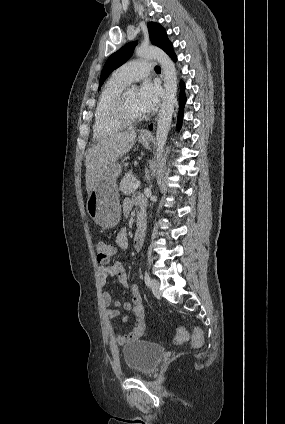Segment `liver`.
Here are the masks:
<instances>
[{
  "label": "liver",
  "mask_w": 285,
  "mask_h": 424,
  "mask_svg": "<svg viewBox=\"0 0 285 424\" xmlns=\"http://www.w3.org/2000/svg\"><path fill=\"white\" fill-rule=\"evenodd\" d=\"M136 131L114 133L93 145L86 154V189L90 193L109 165L122 158L135 144Z\"/></svg>",
  "instance_id": "obj_1"
}]
</instances>
